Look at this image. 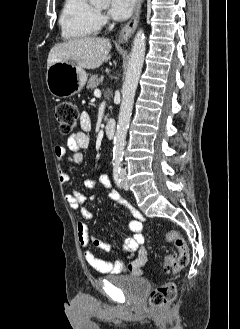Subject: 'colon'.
<instances>
[{"instance_id": "obj_1", "label": "colon", "mask_w": 240, "mask_h": 329, "mask_svg": "<svg viewBox=\"0 0 240 329\" xmlns=\"http://www.w3.org/2000/svg\"><path fill=\"white\" fill-rule=\"evenodd\" d=\"M55 116L59 130L63 134L72 132L78 125L80 117L78 107L70 102H60L55 108ZM166 237L174 243L178 253L168 252L164 257L163 265L165 269L172 268L174 271H180L189 263L188 245L184 237L176 230H168ZM176 294L177 287L175 283L167 282L151 292L149 301L153 306H167L174 301Z\"/></svg>"}]
</instances>
